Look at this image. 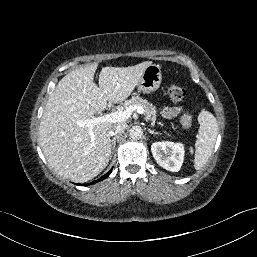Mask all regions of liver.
Here are the masks:
<instances>
[{
  "mask_svg": "<svg viewBox=\"0 0 257 257\" xmlns=\"http://www.w3.org/2000/svg\"><path fill=\"white\" fill-rule=\"evenodd\" d=\"M145 61L130 67H103L99 87L94 83L97 63L64 76L49 96L39 126L41 149L49 165L73 182H87L108 165L111 154L109 130L116 124L93 126L94 140L87 127L78 125L106 109L107 101H124L137 86Z\"/></svg>",
  "mask_w": 257,
  "mask_h": 257,
  "instance_id": "liver-1",
  "label": "liver"
}]
</instances>
